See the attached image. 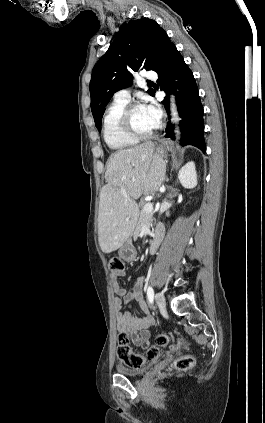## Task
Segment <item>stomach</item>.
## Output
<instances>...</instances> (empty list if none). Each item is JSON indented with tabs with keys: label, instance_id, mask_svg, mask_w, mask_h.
<instances>
[{
	"label": "stomach",
	"instance_id": "stomach-1",
	"mask_svg": "<svg viewBox=\"0 0 265 423\" xmlns=\"http://www.w3.org/2000/svg\"><path fill=\"white\" fill-rule=\"evenodd\" d=\"M168 147L167 148H160L159 149V153L162 156H165L168 152ZM118 254L120 256V258H122L125 261L128 262H132L136 259L137 257V251L134 247V245L132 244L131 240H127L124 242V244L120 247Z\"/></svg>",
	"mask_w": 265,
	"mask_h": 423
}]
</instances>
